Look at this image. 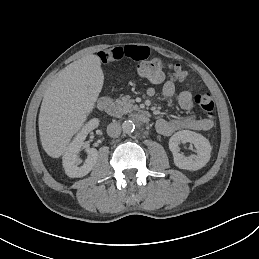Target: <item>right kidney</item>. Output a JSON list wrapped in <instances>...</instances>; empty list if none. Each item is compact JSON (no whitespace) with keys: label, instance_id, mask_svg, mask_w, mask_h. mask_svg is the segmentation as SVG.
<instances>
[{"label":"right kidney","instance_id":"1","mask_svg":"<svg viewBox=\"0 0 259 259\" xmlns=\"http://www.w3.org/2000/svg\"><path fill=\"white\" fill-rule=\"evenodd\" d=\"M97 119H94L89 122V124L85 127L84 131L75 139V141L70 146L69 150L66 151L64 156V167L67 175L70 178H81L90 173V171L94 168L97 158L98 151L95 148H85V152L87 153V158L83 166L79 167L82 163L80 159V153L83 147H85L84 139L87 133L98 126Z\"/></svg>","mask_w":259,"mask_h":259}]
</instances>
